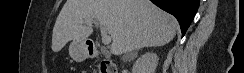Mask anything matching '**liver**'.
Masks as SVG:
<instances>
[{
  "label": "liver",
  "mask_w": 244,
  "mask_h": 73,
  "mask_svg": "<svg viewBox=\"0 0 244 73\" xmlns=\"http://www.w3.org/2000/svg\"><path fill=\"white\" fill-rule=\"evenodd\" d=\"M88 19L111 35L113 55L163 46L178 29L177 20L149 0H67L53 28L52 50L59 52L71 40L85 41L93 33Z\"/></svg>",
  "instance_id": "obj_1"
}]
</instances>
